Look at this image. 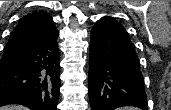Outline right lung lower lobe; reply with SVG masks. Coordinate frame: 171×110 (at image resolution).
Instances as JSON below:
<instances>
[{"label":"right lung lower lobe","mask_w":171,"mask_h":110,"mask_svg":"<svg viewBox=\"0 0 171 110\" xmlns=\"http://www.w3.org/2000/svg\"><path fill=\"white\" fill-rule=\"evenodd\" d=\"M58 35L57 32L48 41L24 51L19 61L0 69V106L22 104L31 110H57Z\"/></svg>","instance_id":"obj_1"}]
</instances>
